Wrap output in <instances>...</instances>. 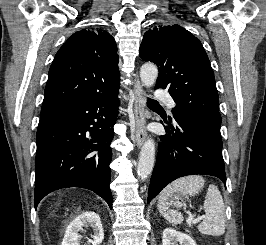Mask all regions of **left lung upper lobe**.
<instances>
[{
  "instance_id": "1",
  "label": "left lung upper lobe",
  "mask_w": 266,
  "mask_h": 245,
  "mask_svg": "<svg viewBox=\"0 0 266 245\" xmlns=\"http://www.w3.org/2000/svg\"><path fill=\"white\" fill-rule=\"evenodd\" d=\"M139 55L158 66L155 88H169L176 103L173 115H196L221 125L214 73L194 35L179 25L155 27L144 34Z\"/></svg>"
}]
</instances>
